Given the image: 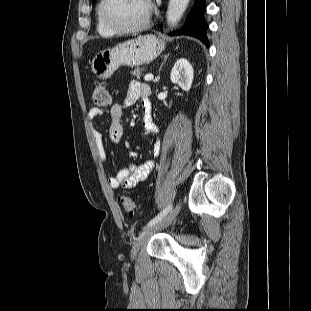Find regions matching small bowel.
<instances>
[{
  "label": "small bowel",
  "instance_id": "small-bowel-1",
  "mask_svg": "<svg viewBox=\"0 0 311 311\" xmlns=\"http://www.w3.org/2000/svg\"><path fill=\"white\" fill-rule=\"evenodd\" d=\"M150 95L151 89L147 84L136 80L129 83L126 96L122 103H116L110 107V124L108 133L109 139L112 143L118 144L122 140L124 132L122 123L124 109L133 106L137 101L141 102L143 110V134L151 137H156L159 134V128L155 125L152 119ZM101 115V109L94 107L90 108L87 112V121L97 151L100 157L104 159L105 149L103 145V136L95 126L96 119ZM152 150L155 156L160 154L161 148L157 141L153 142ZM153 167L154 163L151 160L140 165L130 163L127 167L109 176L107 179L108 185L113 190H118L119 188H135L140 182L144 181L149 176Z\"/></svg>",
  "mask_w": 311,
  "mask_h": 311
}]
</instances>
